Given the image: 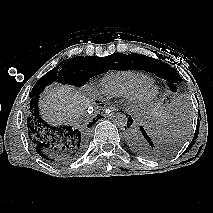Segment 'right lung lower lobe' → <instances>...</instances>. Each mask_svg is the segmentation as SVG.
Returning <instances> with one entry per match:
<instances>
[{
    "instance_id": "right-lung-lower-lobe-1",
    "label": "right lung lower lobe",
    "mask_w": 213,
    "mask_h": 213,
    "mask_svg": "<svg viewBox=\"0 0 213 213\" xmlns=\"http://www.w3.org/2000/svg\"><path fill=\"white\" fill-rule=\"evenodd\" d=\"M39 97V94L31 97L27 114V132L32 146L43 159L54 164H66L75 160L85 149L89 128L101 116H97L82 130L71 126H53L40 115Z\"/></svg>"
}]
</instances>
